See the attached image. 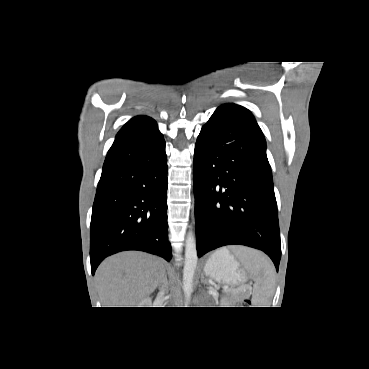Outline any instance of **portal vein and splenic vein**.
I'll use <instances>...</instances> for the list:
<instances>
[{
	"label": "portal vein and splenic vein",
	"instance_id": "18ae733b",
	"mask_svg": "<svg viewBox=\"0 0 369 369\" xmlns=\"http://www.w3.org/2000/svg\"><path fill=\"white\" fill-rule=\"evenodd\" d=\"M228 288H229L228 286H224V287H223V289H225V290H226V289H228Z\"/></svg>",
	"mask_w": 369,
	"mask_h": 369
}]
</instances>
